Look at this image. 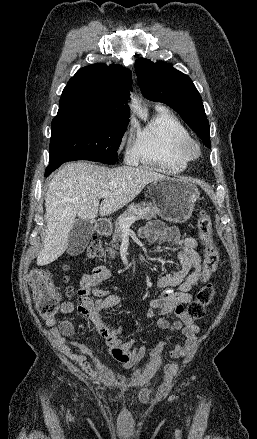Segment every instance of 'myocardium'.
<instances>
[{"mask_svg": "<svg viewBox=\"0 0 257 439\" xmlns=\"http://www.w3.org/2000/svg\"><path fill=\"white\" fill-rule=\"evenodd\" d=\"M179 149L182 155L188 160L197 159L201 155L199 143L192 138L183 140L179 146Z\"/></svg>", "mask_w": 257, "mask_h": 439, "instance_id": "f54148a6", "label": "myocardium"}]
</instances>
